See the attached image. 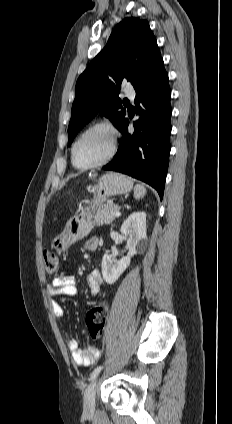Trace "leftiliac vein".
<instances>
[{"instance_id":"1","label":"left iliac vein","mask_w":232,"mask_h":424,"mask_svg":"<svg viewBox=\"0 0 232 424\" xmlns=\"http://www.w3.org/2000/svg\"><path fill=\"white\" fill-rule=\"evenodd\" d=\"M97 385V379L93 380L92 383L87 387L84 394V412L91 414L95 409V389Z\"/></svg>"}]
</instances>
